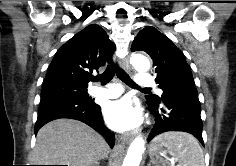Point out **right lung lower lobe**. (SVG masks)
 <instances>
[{
    "label": "right lung lower lobe",
    "mask_w": 236,
    "mask_h": 166,
    "mask_svg": "<svg viewBox=\"0 0 236 166\" xmlns=\"http://www.w3.org/2000/svg\"><path fill=\"white\" fill-rule=\"evenodd\" d=\"M72 85L69 83L44 84L42 94L47 98H41L38 118L34 127V132L46 123L59 119L70 118L82 121L103 134L111 148L114 146L115 137L104 125L100 106L92 100L81 102L72 97H64Z\"/></svg>",
    "instance_id": "98d812e1"
}]
</instances>
